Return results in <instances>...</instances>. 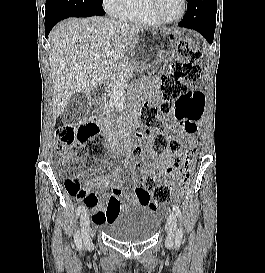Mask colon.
<instances>
[{"mask_svg":"<svg viewBox=\"0 0 265 273\" xmlns=\"http://www.w3.org/2000/svg\"><path fill=\"white\" fill-rule=\"evenodd\" d=\"M177 52L187 61H175L171 65L172 72L165 75L161 81L162 98L158 105L146 103L139 115L140 130L136 133V145L132 150L135 164H142V144L152 135V150L155 154H164L167 150L181 151L184 156L177 164L176 173L166 178L164 183H156L154 178L146 177L142 186L152 191L149 206L164 204L170 200L175 182H180L181 190L192 174L196 152L201 148L202 137L197 123L204 112L205 96L200 91H192L188 83L196 82L201 76L200 67L196 64L201 53L194 47L189 38L181 40ZM163 117L171 121L174 130H182L184 140L169 139L164 133ZM56 139L58 151L63 158L68 157L78 144L95 145L101 139L100 128L94 123L80 125L64 124L57 128ZM68 194L73 197L85 195L84 184L76 178L65 181Z\"/></svg>","mask_w":265,"mask_h":273,"instance_id":"obj_1","label":"colon"}]
</instances>
